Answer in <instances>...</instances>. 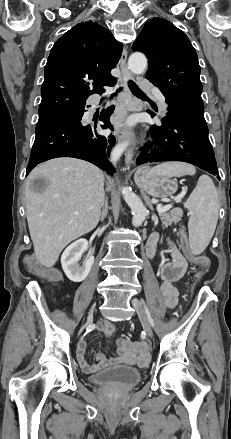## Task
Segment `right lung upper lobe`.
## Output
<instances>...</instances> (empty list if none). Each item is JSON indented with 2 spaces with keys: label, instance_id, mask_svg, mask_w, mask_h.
Instances as JSON below:
<instances>
[{
  "label": "right lung upper lobe",
  "instance_id": "cb5924a9",
  "mask_svg": "<svg viewBox=\"0 0 231 439\" xmlns=\"http://www.w3.org/2000/svg\"><path fill=\"white\" fill-rule=\"evenodd\" d=\"M121 54L122 44L97 22H82L62 35L45 66L39 120L79 110L90 95L102 94L103 86L116 82L110 70Z\"/></svg>",
  "mask_w": 231,
  "mask_h": 439
}]
</instances>
